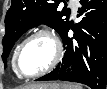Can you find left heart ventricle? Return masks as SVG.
<instances>
[{"label": "left heart ventricle", "instance_id": "left-heart-ventricle-1", "mask_svg": "<svg viewBox=\"0 0 107 89\" xmlns=\"http://www.w3.org/2000/svg\"><path fill=\"white\" fill-rule=\"evenodd\" d=\"M55 47L52 40L39 35L29 40L22 48L18 67L23 74H34L45 69L53 60Z\"/></svg>", "mask_w": 107, "mask_h": 89}]
</instances>
